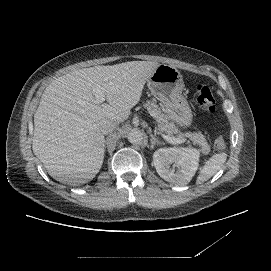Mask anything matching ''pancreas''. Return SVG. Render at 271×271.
<instances>
[{
	"label": "pancreas",
	"instance_id": "1",
	"mask_svg": "<svg viewBox=\"0 0 271 271\" xmlns=\"http://www.w3.org/2000/svg\"><path fill=\"white\" fill-rule=\"evenodd\" d=\"M148 111L151 113L152 117L157 121V124L161 131H164L165 134L174 135L177 133L176 127L170 121V117L168 115L162 114L158 111L157 106L155 104H151L147 107ZM193 138L199 146V151L206 155L211 151L210 146L207 143L206 137L201 132H196L195 134L184 133L179 134V138Z\"/></svg>",
	"mask_w": 271,
	"mask_h": 271
}]
</instances>
